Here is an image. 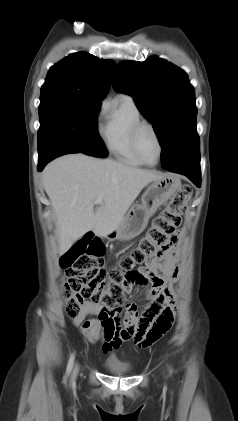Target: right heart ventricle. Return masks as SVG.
I'll use <instances>...</instances> for the list:
<instances>
[{"label":"right heart ventricle","instance_id":"1","mask_svg":"<svg viewBox=\"0 0 238 421\" xmlns=\"http://www.w3.org/2000/svg\"><path fill=\"white\" fill-rule=\"evenodd\" d=\"M143 120L142 114L129 96H120L106 110L101 134L108 150L122 162L131 166H143L132 146L134 126Z\"/></svg>","mask_w":238,"mask_h":421}]
</instances>
